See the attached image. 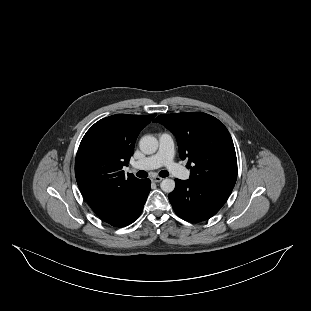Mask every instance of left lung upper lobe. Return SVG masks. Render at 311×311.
I'll use <instances>...</instances> for the list:
<instances>
[{
  "mask_svg": "<svg viewBox=\"0 0 311 311\" xmlns=\"http://www.w3.org/2000/svg\"><path fill=\"white\" fill-rule=\"evenodd\" d=\"M161 123L176 137L180 158H188L189 180L232 190L237 179V158L227 128L202 112L159 115Z\"/></svg>",
  "mask_w": 311,
  "mask_h": 311,
  "instance_id": "left-lung-upper-lobe-1",
  "label": "left lung upper lobe"
}]
</instances>
